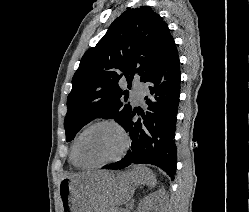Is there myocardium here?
<instances>
[{"label": "myocardium", "instance_id": "f54148a6", "mask_svg": "<svg viewBox=\"0 0 249 212\" xmlns=\"http://www.w3.org/2000/svg\"><path fill=\"white\" fill-rule=\"evenodd\" d=\"M102 126H109L114 128L121 140H122V145L120 148V151L118 152V154L110 159H107L103 162L97 163V164H84L80 161L79 157H78V153H77V149H78V144L80 142V140L82 139V137L89 131L98 128V127H102ZM131 146V137L130 134L128 132V130L124 127L123 124H121L120 122L114 120V119H110V118H105V119H101V120H97L91 124H89L88 126H86L75 138L74 143H73V148H72V153H73V159L75 161V163L83 169H99L105 166H108L110 164H113L119 160H121L126 153L128 152L129 148Z\"/></svg>", "mask_w": 249, "mask_h": 212}]
</instances>
